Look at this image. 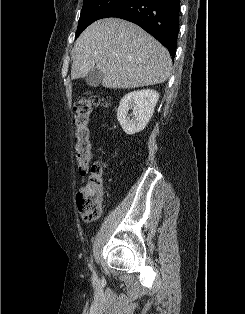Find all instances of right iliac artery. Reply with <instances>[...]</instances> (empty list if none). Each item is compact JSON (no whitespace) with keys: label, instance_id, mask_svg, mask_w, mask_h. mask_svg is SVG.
I'll return each mask as SVG.
<instances>
[{"label":"right iliac artery","instance_id":"82829eb1","mask_svg":"<svg viewBox=\"0 0 245 314\" xmlns=\"http://www.w3.org/2000/svg\"><path fill=\"white\" fill-rule=\"evenodd\" d=\"M89 266L91 267V269H93V265H92V263L91 264H89ZM94 273V276L96 275L95 274V272H93Z\"/></svg>","mask_w":245,"mask_h":314}]
</instances>
